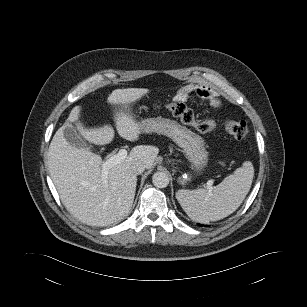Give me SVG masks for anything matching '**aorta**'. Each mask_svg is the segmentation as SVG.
<instances>
[{"label":"aorta","instance_id":"obj_1","mask_svg":"<svg viewBox=\"0 0 307 307\" xmlns=\"http://www.w3.org/2000/svg\"><path fill=\"white\" fill-rule=\"evenodd\" d=\"M152 182L157 188H165L169 184V176L165 172H156L152 176Z\"/></svg>","mask_w":307,"mask_h":307}]
</instances>
